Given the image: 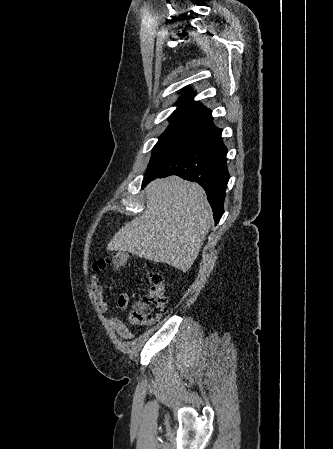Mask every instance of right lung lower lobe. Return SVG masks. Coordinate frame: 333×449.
Masks as SVG:
<instances>
[{"mask_svg": "<svg viewBox=\"0 0 333 449\" xmlns=\"http://www.w3.org/2000/svg\"><path fill=\"white\" fill-rule=\"evenodd\" d=\"M221 134L222 129L213 125L186 141L145 175L142 188L155 178L170 175L197 182L207 193L217 224L224 212L225 190L230 178L227 148Z\"/></svg>", "mask_w": 333, "mask_h": 449, "instance_id": "98d812e1", "label": "right lung lower lobe"}]
</instances>
